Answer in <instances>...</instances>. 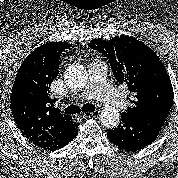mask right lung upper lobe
Returning <instances> with one entry per match:
<instances>
[{
    "instance_id": "1",
    "label": "right lung upper lobe",
    "mask_w": 178,
    "mask_h": 178,
    "mask_svg": "<svg viewBox=\"0 0 178 178\" xmlns=\"http://www.w3.org/2000/svg\"><path fill=\"white\" fill-rule=\"evenodd\" d=\"M70 45L49 42L36 48L22 63L16 75L11 111L22 135L32 144L47 149L72 132L77 124L70 115L54 107L50 86L58 76L59 59Z\"/></svg>"
}]
</instances>
